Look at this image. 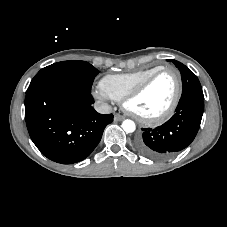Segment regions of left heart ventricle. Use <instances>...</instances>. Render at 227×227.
<instances>
[{
	"label": "left heart ventricle",
	"instance_id": "1",
	"mask_svg": "<svg viewBox=\"0 0 227 227\" xmlns=\"http://www.w3.org/2000/svg\"><path fill=\"white\" fill-rule=\"evenodd\" d=\"M177 87L176 77L173 72H165L130 103L129 107L136 113L152 117L162 113L174 98Z\"/></svg>",
	"mask_w": 227,
	"mask_h": 227
}]
</instances>
